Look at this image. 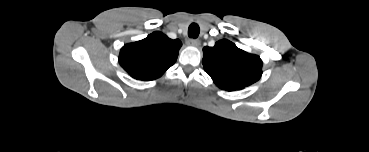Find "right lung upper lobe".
Listing matches in <instances>:
<instances>
[{
	"label": "right lung upper lobe",
	"instance_id": "obj_1",
	"mask_svg": "<svg viewBox=\"0 0 369 152\" xmlns=\"http://www.w3.org/2000/svg\"><path fill=\"white\" fill-rule=\"evenodd\" d=\"M182 43L171 40L161 32L122 47L119 63L130 76L149 81L159 78L177 60Z\"/></svg>",
	"mask_w": 369,
	"mask_h": 152
}]
</instances>
